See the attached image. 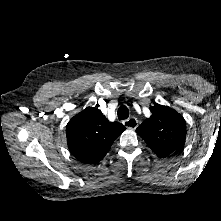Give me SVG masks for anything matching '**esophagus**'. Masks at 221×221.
Wrapping results in <instances>:
<instances>
[{
  "label": "esophagus",
  "mask_w": 221,
  "mask_h": 221,
  "mask_svg": "<svg viewBox=\"0 0 221 221\" xmlns=\"http://www.w3.org/2000/svg\"><path fill=\"white\" fill-rule=\"evenodd\" d=\"M123 124H124V126L126 128L134 130L138 126V121H137V119L135 117H131V118L127 119V120H124Z\"/></svg>",
  "instance_id": "obj_1"
}]
</instances>
